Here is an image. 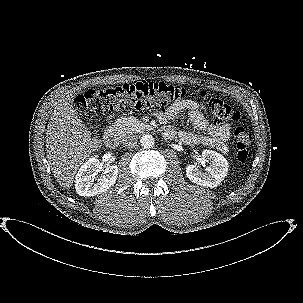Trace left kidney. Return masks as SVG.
<instances>
[{"label":"left kidney","mask_w":303,"mask_h":303,"mask_svg":"<svg viewBox=\"0 0 303 303\" xmlns=\"http://www.w3.org/2000/svg\"><path fill=\"white\" fill-rule=\"evenodd\" d=\"M202 158L210 165L201 171L196 165L186 166V175L190 181L204 187H217L227 176L228 161L213 150H203Z\"/></svg>","instance_id":"obj_1"}]
</instances>
